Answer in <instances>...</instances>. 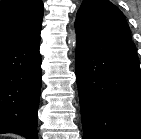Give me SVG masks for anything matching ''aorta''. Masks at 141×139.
Wrapping results in <instances>:
<instances>
[{
	"instance_id": "aorta-1",
	"label": "aorta",
	"mask_w": 141,
	"mask_h": 139,
	"mask_svg": "<svg viewBox=\"0 0 141 139\" xmlns=\"http://www.w3.org/2000/svg\"><path fill=\"white\" fill-rule=\"evenodd\" d=\"M69 47H75L76 45V33L74 30H71L68 36Z\"/></svg>"
}]
</instances>
